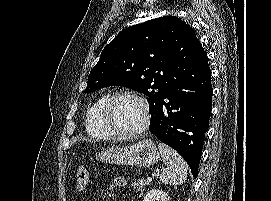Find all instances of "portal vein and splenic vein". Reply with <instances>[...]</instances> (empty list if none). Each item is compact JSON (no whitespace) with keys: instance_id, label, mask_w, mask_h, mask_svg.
<instances>
[{"instance_id":"portal-vein-and-splenic-vein-1","label":"portal vein and splenic vein","mask_w":271,"mask_h":201,"mask_svg":"<svg viewBox=\"0 0 271 201\" xmlns=\"http://www.w3.org/2000/svg\"><path fill=\"white\" fill-rule=\"evenodd\" d=\"M152 178L151 177H147L146 181L147 182H151Z\"/></svg>"}]
</instances>
